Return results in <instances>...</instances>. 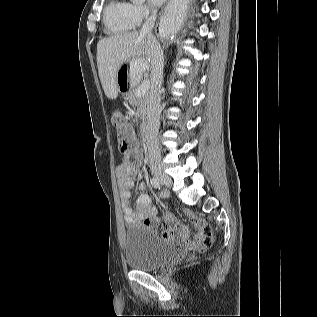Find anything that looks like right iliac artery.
Listing matches in <instances>:
<instances>
[{"label": "right iliac artery", "mask_w": 317, "mask_h": 317, "mask_svg": "<svg viewBox=\"0 0 317 317\" xmlns=\"http://www.w3.org/2000/svg\"><path fill=\"white\" fill-rule=\"evenodd\" d=\"M150 183H151V185L154 187V188H158V189H160V187H161V184H160V182H159V180L157 179V178H155V177H152L151 179H150Z\"/></svg>", "instance_id": "obj_1"}]
</instances>
